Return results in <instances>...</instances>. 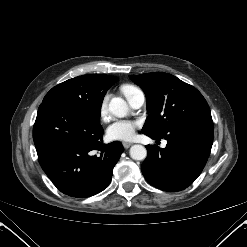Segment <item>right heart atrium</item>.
I'll return each mask as SVG.
<instances>
[{
	"instance_id": "1",
	"label": "right heart atrium",
	"mask_w": 247,
	"mask_h": 247,
	"mask_svg": "<svg viewBox=\"0 0 247 247\" xmlns=\"http://www.w3.org/2000/svg\"><path fill=\"white\" fill-rule=\"evenodd\" d=\"M108 98L105 97L100 105V117L102 120H107L108 118V108H107Z\"/></svg>"
}]
</instances>
